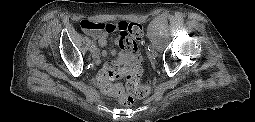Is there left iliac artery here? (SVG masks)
<instances>
[{"label":"left iliac artery","mask_w":255,"mask_h":122,"mask_svg":"<svg viewBox=\"0 0 255 122\" xmlns=\"http://www.w3.org/2000/svg\"><path fill=\"white\" fill-rule=\"evenodd\" d=\"M148 50H149V51L155 50V47H154V45H152V44H149V45H148Z\"/></svg>","instance_id":"obj_1"}]
</instances>
